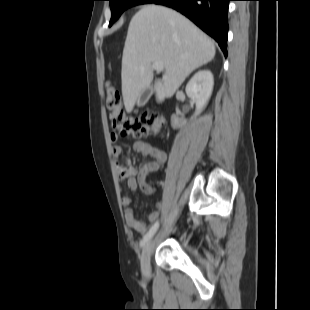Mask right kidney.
Masks as SVG:
<instances>
[{
    "mask_svg": "<svg viewBox=\"0 0 310 310\" xmlns=\"http://www.w3.org/2000/svg\"><path fill=\"white\" fill-rule=\"evenodd\" d=\"M214 86V78L211 71L205 69L194 74L186 85V94L196 103V113L198 115L207 105L212 94ZM185 123L176 116H172L173 128H178Z\"/></svg>",
    "mask_w": 310,
    "mask_h": 310,
    "instance_id": "ca27d5eb",
    "label": "right kidney"
}]
</instances>
